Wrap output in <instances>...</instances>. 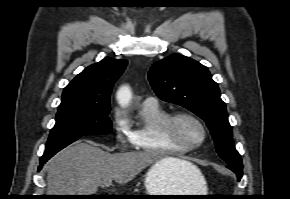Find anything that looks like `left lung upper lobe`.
Returning a JSON list of instances; mask_svg holds the SVG:
<instances>
[{
  "instance_id": "obj_1",
  "label": "left lung upper lobe",
  "mask_w": 290,
  "mask_h": 199,
  "mask_svg": "<svg viewBox=\"0 0 290 199\" xmlns=\"http://www.w3.org/2000/svg\"><path fill=\"white\" fill-rule=\"evenodd\" d=\"M148 77L160 99L181 105L206 122L216 150L227 164L242 165L225 103L207 67L181 54H172L154 63Z\"/></svg>"
}]
</instances>
